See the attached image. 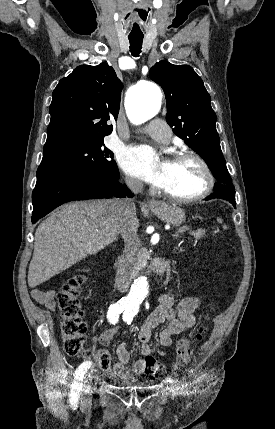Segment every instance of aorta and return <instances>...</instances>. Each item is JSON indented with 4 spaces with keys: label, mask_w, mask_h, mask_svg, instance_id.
<instances>
[{
    "label": "aorta",
    "mask_w": 275,
    "mask_h": 429,
    "mask_svg": "<svg viewBox=\"0 0 275 429\" xmlns=\"http://www.w3.org/2000/svg\"><path fill=\"white\" fill-rule=\"evenodd\" d=\"M162 104V92L154 83H143L135 86L126 99V111L134 124H140L158 114ZM149 293L145 277L134 282L126 298L129 303L139 304Z\"/></svg>",
    "instance_id": "aorta-1"
}]
</instances>
